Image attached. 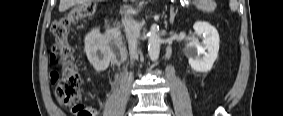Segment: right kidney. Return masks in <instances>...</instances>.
<instances>
[{
	"instance_id": "obj_1",
	"label": "right kidney",
	"mask_w": 283,
	"mask_h": 116,
	"mask_svg": "<svg viewBox=\"0 0 283 116\" xmlns=\"http://www.w3.org/2000/svg\"><path fill=\"white\" fill-rule=\"evenodd\" d=\"M85 53L97 72L105 71L119 50L118 39L112 31L101 34L98 28L91 30L84 39Z\"/></svg>"
}]
</instances>
